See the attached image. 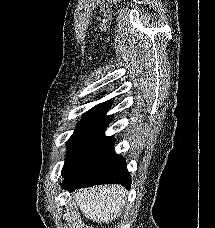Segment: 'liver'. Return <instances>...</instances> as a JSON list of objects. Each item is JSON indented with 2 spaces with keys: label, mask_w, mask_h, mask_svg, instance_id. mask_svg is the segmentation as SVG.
Returning a JSON list of instances; mask_svg holds the SVG:
<instances>
[{
  "label": "liver",
  "mask_w": 215,
  "mask_h": 228,
  "mask_svg": "<svg viewBox=\"0 0 215 228\" xmlns=\"http://www.w3.org/2000/svg\"><path fill=\"white\" fill-rule=\"evenodd\" d=\"M127 194L119 184H104L76 190L74 200L87 220L96 224H112L120 218Z\"/></svg>",
  "instance_id": "liver-1"
}]
</instances>
